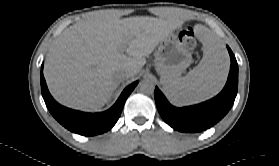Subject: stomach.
Here are the masks:
<instances>
[{
	"mask_svg": "<svg viewBox=\"0 0 279 166\" xmlns=\"http://www.w3.org/2000/svg\"><path fill=\"white\" fill-rule=\"evenodd\" d=\"M191 62V53L175 34L168 35L160 42L155 57V68L161 80L178 78Z\"/></svg>",
	"mask_w": 279,
	"mask_h": 166,
	"instance_id": "obj_1",
	"label": "stomach"
}]
</instances>
